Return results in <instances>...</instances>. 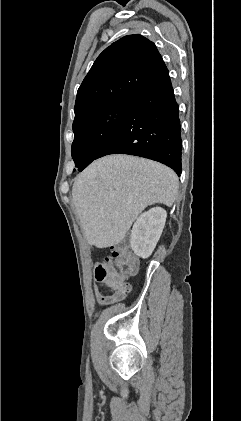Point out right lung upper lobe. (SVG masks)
Wrapping results in <instances>:
<instances>
[{"label": "right lung upper lobe", "mask_w": 241, "mask_h": 421, "mask_svg": "<svg viewBox=\"0 0 241 421\" xmlns=\"http://www.w3.org/2000/svg\"><path fill=\"white\" fill-rule=\"evenodd\" d=\"M165 68L150 40L137 34L119 39L98 56L79 87L74 120L109 104L131 100Z\"/></svg>", "instance_id": "right-lung-upper-lobe-1"}]
</instances>
